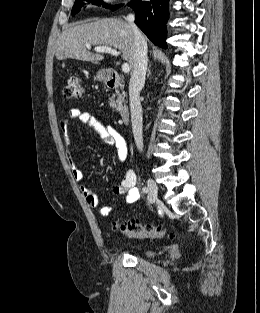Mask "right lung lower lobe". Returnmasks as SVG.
I'll return each mask as SVG.
<instances>
[{
    "label": "right lung lower lobe",
    "mask_w": 260,
    "mask_h": 313,
    "mask_svg": "<svg viewBox=\"0 0 260 313\" xmlns=\"http://www.w3.org/2000/svg\"><path fill=\"white\" fill-rule=\"evenodd\" d=\"M129 6L135 11L136 25L155 45L166 48L168 0H150V2L133 0Z\"/></svg>",
    "instance_id": "obj_1"
}]
</instances>
